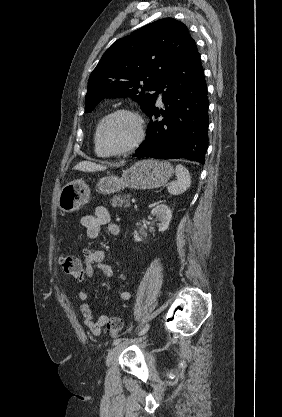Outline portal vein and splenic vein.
I'll return each mask as SVG.
<instances>
[{
  "instance_id": "1",
  "label": "portal vein and splenic vein",
  "mask_w": 282,
  "mask_h": 417,
  "mask_svg": "<svg viewBox=\"0 0 282 417\" xmlns=\"http://www.w3.org/2000/svg\"><path fill=\"white\" fill-rule=\"evenodd\" d=\"M132 202H133V203H136V202H137V199H136V198H133V199H132Z\"/></svg>"
}]
</instances>
